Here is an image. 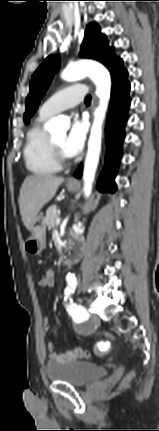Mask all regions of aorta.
I'll return each instance as SVG.
<instances>
[{"label": "aorta", "instance_id": "aorta-1", "mask_svg": "<svg viewBox=\"0 0 159 431\" xmlns=\"http://www.w3.org/2000/svg\"><path fill=\"white\" fill-rule=\"evenodd\" d=\"M86 76H89L96 85V95L100 100L99 106L94 112V122L88 142V152L83 172L84 195L88 198L92 191V183L100 156L102 123L110 98L111 78L109 72L103 65L93 61H80L75 64H70L61 74L62 79L70 82L77 81ZM67 127V123L61 117L53 118L47 125V129L52 133L58 130L66 131ZM67 277L71 279L73 275L68 274Z\"/></svg>", "mask_w": 159, "mask_h": 431}]
</instances>
